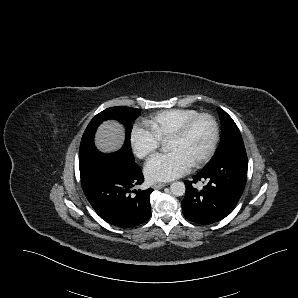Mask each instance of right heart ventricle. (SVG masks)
<instances>
[{"mask_svg": "<svg viewBox=\"0 0 298 298\" xmlns=\"http://www.w3.org/2000/svg\"><path fill=\"white\" fill-rule=\"evenodd\" d=\"M198 114H200L199 111L189 108L162 110L145 119L144 122L160 140H164L166 135L180 123Z\"/></svg>", "mask_w": 298, "mask_h": 298, "instance_id": "obj_1", "label": "right heart ventricle"}]
</instances>
